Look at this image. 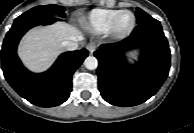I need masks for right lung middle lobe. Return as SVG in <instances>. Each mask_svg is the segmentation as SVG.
I'll use <instances>...</instances> for the list:
<instances>
[{
    "label": "right lung middle lobe",
    "mask_w": 194,
    "mask_h": 133,
    "mask_svg": "<svg viewBox=\"0 0 194 133\" xmlns=\"http://www.w3.org/2000/svg\"><path fill=\"white\" fill-rule=\"evenodd\" d=\"M65 8L58 5H42L36 6L27 12L20 15L15 21L19 20H34V19H41V18H48V17H65ZM14 21V22H15Z\"/></svg>",
    "instance_id": "dd1d6c3e"
}]
</instances>
